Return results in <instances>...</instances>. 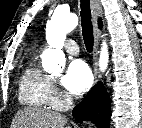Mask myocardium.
I'll return each mask as SVG.
<instances>
[{"mask_svg":"<svg viewBox=\"0 0 142 128\" xmlns=\"http://www.w3.org/2000/svg\"><path fill=\"white\" fill-rule=\"evenodd\" d=\"M54 104L58 107H64L65 105L68 104V101L67 99H64V98H56L54 100Z\"/></svg>","mask_w":142,"mask_h":128,"instance_id":"myocardium-1","label":"myocardium"}]
</instances>
